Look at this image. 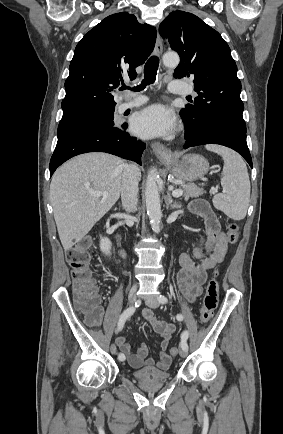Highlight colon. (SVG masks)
I'll return each instance as SVG.
<instances>
[{
	"instance_id": "1",
	"label": "colon",
	"mask_w": 283,
	"mask_h": 434,
	"mask_svg": "<svg viewBox=\"0 0 283 434\" xmlns=\"http://www.w3.org/2000/svg\"><path fill=\"white\" fill-rule=\"evenodd\" d=\"M238 237L239 228L237 224H230L227 231V240L230 243H235ZM66 260L71 268L77 307L90 325H97L101 320L102 310L99 305L96 281L90 268V241L83 239L73 245L66 252ZM217 275V271L214 272L206 286L200 308V320L202 323H207L212 318L218 305L219 285ZM178 353L179 349L177 347L170 349L171 356H176Z\"/></svg>"
}]
</instances>
